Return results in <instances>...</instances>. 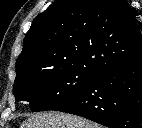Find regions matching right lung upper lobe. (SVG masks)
<instances>
[{
    "mask_svg": "<svg viewBox=\"0 0 142 128\" xmlns=\"http://www.w3.org/2000/svg\"><path fill=\"white\" fill-rule=\"evenodd\" d=\"M142 54L126 0H56L35 17L16 62V79L65 66L97 74Z\"/></svg>",
    "mask_w": 142,
    "mask_h": 128,
    "instance_id": "1",
    "label": "right lung upper lobe"
}]
</instances>
